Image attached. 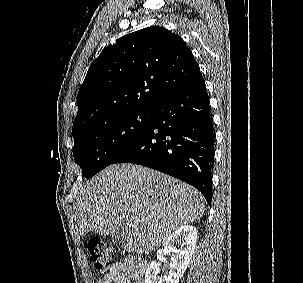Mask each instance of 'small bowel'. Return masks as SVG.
Here are the masks:
<instances>
[{
    "label": "small bowel",
    "mask_w": 303,
    "mask_h": 283,
    "mask_svg": "<svg viewBox=\"0 0 303 283\" xmlns=\"http://www.w3.org/2000/svg\"><path fill=\"white\" fill-rule=\"evenodd\" d=\"M144 271L137 266V260L131 256L121 262L109 265L107 273L97 283H143Z\"/></svg>",
    "instance_id": "c3829d8e"
}]
</instances>
